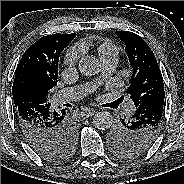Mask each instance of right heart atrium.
Masks as SVG:
<instances>
[{
  "mask_svg": "<svg viewBox=\"0 0 184 184\" xmlns=\"http://www.w3.org/2000/svg\"><path fill=\"white\" fill-rule=\"evenodd\" d=\"M83 54L81 45H74L71 47L64 56V63L68 66L75 65Z\"/></svg>",
  "mask_w": 184,
  "mask_h": 184,
  "instance_id": "right-heart-atrium-1",
  "label": "right heart atrium"
}]
</instances>
